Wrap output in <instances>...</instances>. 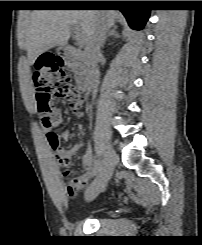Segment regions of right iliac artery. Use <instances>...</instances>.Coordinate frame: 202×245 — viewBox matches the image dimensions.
<instances>
[{"label": "right iliac artery", "mask_w": 202, "mask_h": 245, "mask_svg": "<svg viewBox=\"0 0 202 245\" xmlns=\"http://www.w3.org/2000/svg\"><path fill=\"white\" fill-rule=\"evenodd\" d=\"M104 163V159L103 158H99L98 160H96L95 162V167L97 170H100L102 165Z\"/></svg>", "instance_id": "right-iliac-artery-1"}]
</instances>
